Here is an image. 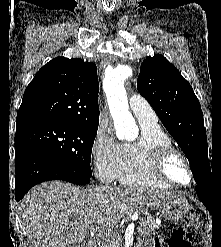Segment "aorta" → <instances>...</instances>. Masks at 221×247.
Returning a JSON list of instances; mask_svg holds the SVG:
<instances>
[{
  "mask_svg": "<svg viewBox=\"0 0 221 247\" xmlns=\"http://www.w3.org/2000/svg\"><path fill=\"white\" fill-rule=\"evenodd\" d=\"M132 70L129 66H121L105 75L103 89L105 91L110 113L114 119L116 134L119 140L131 139L137 135L135 119L129 112L124 81Z\"/></svg>",
  "mask_w": 221,
  "mask_h": 247,
  "instance_id": "762f6f07",
  "label": "aorta"
}]
</instances>
